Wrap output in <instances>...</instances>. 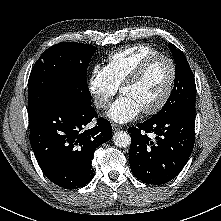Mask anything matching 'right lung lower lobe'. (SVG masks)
Here are the masks:
<instances>
[{"label": "right lung lower lobe", "mask_w": 221, "mask_h": 221, "mask_svg": "<svg viewBox=\"0 0 221 221\" xmlns=\"http://www.w3.org/2000/svg\"><path fill=\"white\" fill-rule=\"evenodd\" d=\"M28 115L30 144L45 176L65 189L90 182L91 160L95 149L111 138L110 122L99 118L96 126L85 130L97 117L95 109L60 97L45 101Z\"/></svg>", "instance_id": "right-lung-lower-lobe-1"}]
</instances>
